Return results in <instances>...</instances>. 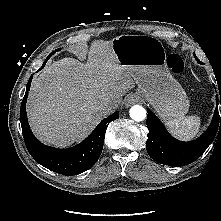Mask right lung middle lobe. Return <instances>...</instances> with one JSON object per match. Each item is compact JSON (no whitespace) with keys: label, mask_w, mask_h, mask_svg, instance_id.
Masks as SVG:
<instances>
[{"label":"right lung middle lobe","mask_w":221,"mask_h":221,"mask_svg":"<svg viewBox=\"0 0 221 221\" xmlns=\"http://www.w3.org/2000/svg\"><path fill=\"white\" fill-rule=\"evenodd\" d=\"M58 50H60V49H57L56 51H58ZM53 53H55V52H53ZM53 53H52V54H53ZM52 54H51V55H52Z\"/></svg>","instance_id":"1"}]
</instances>
